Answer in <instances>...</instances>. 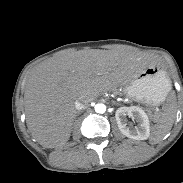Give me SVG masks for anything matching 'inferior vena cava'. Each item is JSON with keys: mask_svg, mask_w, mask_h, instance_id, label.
<instances>
[{"mask_svg": "<svg viewBox=\"0 0 183 183\" xmlns=\"http://www.w3.org/2000/svg\"><path fill=\"white\" fill-rule=\"evenodd\" d=\"M91 101L90 98L86 96H81L78 100L75 101V108L77 110H82L85 108V105Z\"/></svg>", "mask_w": 183, "mask_h": 183, "instance_id": "obj_1", "label": "inferior vena cava"}]
</instances>
